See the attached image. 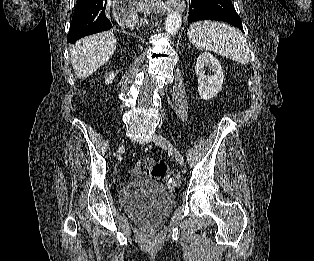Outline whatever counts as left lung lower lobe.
Wrapping results in <instances>:
<instances>
[{"instance_id":"obj_1","label":"left lung lower lobe","mask_w":314,"mask_h":261,"mask_svg":"<svg viewBox=\"0 0 314 261\" xmlns=\"http://www.w3.org/2000/svg\"><path fill=\"white\" fill-rule=\"evenodd\" d=\"M189 3L188 22L199 20L224 21L244 32L241 19L231 0H189Z\"/></svg>"}]
</instances>
